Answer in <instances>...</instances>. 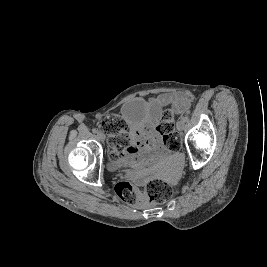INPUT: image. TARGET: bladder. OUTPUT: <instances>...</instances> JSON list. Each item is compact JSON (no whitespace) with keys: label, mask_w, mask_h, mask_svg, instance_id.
<instances>
[{"label":"bladder","mask_w":267,"mask_h":267,"mask_svg":"<svg viewBox=\"0 0 267 267\" xmlns=\"http://www.w3.org/2000/svg\"><path fill=\"white\" fill-rule=\"evenodd\" d=\"M142 153H145V155H150V156L151 155H156L157 153H159V149L157 147H149ZM135 155H138L137 152H135L132 148H129L126 151L125 156L122 159H120L119 161H109V162H107L108 167L111 168V169H115V168L121 167L123 165H126L132 160V158Z\"/></svg>","instance_id":"obj_1"}]
</instances>
